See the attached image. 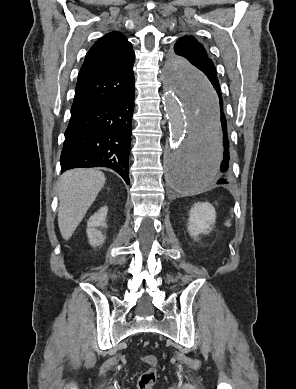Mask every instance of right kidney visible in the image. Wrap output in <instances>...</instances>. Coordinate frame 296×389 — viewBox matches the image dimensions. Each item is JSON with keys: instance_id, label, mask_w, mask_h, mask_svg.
<instances>
[{"instance_id": "1", "label": "right kidney", "mask_w": 296, "mask_h": 389, "mask_svg": "<svg viewBox=\"0 0 296 389\" xmlns=\"http://www.w3.org/2000/svg\"><path fill=\"white\" fill-rule=\"evenodd\" d=\"M107 207H101L98 212L94 213L88 220L87 223V236L89 239V244L93 247L100 246L104 243L105 235H102L98 227H107L106 225V216H107Z\"/></svg>"}]
</instances>
